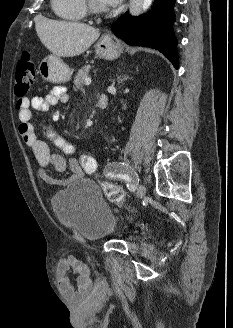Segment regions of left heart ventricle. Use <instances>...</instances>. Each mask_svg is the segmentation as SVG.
Instances as JSON below:
<instances>
[{
  "label": "left heart ventricle",
  "mask_w": 233,
  "mask_h": 328,
  "mask_svg": "<svg viewBox=\"0 0 233 328\" xmlns=\"http://www.w3.org/2000/svg\"><path fill=\"white\" fill-rule=\"evenodd\" d=\"M96 2H97L99 5L103 6L98 0H96Z\"/></svg>",
  "instance_id": "obj_1"
}]
</instances>
